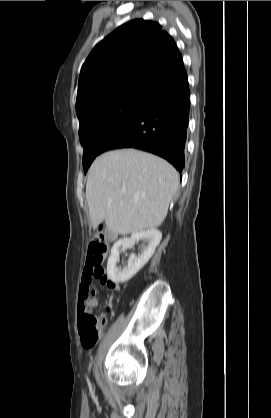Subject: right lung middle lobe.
Here are the masks:
<instances>
[{"label":"right lung middle lobe","mask_w":271,"mask_h":418,"mask_svg":"<svg viewBox=\"0 0 271 418\" xmlns=\"http://www.w3.org/2000/svg\"><path fill=\"white\" fill-rule=\"evenodd\" d=\"M150 99L122 94L77 112L80 126L79 138L84 148L83 167L86 173L108 137L124 122L141 110Z\"/></svg>","instance_id":"obj_1"}]
</instances>
